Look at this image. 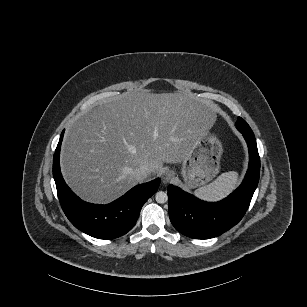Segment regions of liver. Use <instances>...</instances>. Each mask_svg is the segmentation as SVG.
Instances as JSON below:
<instances>
[{
    "mask_svg": "<svg viewBox=\"0 0 307 307\" xmlns=\"http://www.w3.org/2000/svg\"><path fill=\"white\" fill-rule=\"evenodd\" d=\"M214 105L180 93H123L100 102L70 126L62 172L83 200L107 204L137 184L133 171L161 174L163 162L190 155Z\"/></svg>",
    "mask_w": 307,
    "mask_h": 307,
    "instance_id": "6515ba94",
    "label": "liver"
}]
</instances>
